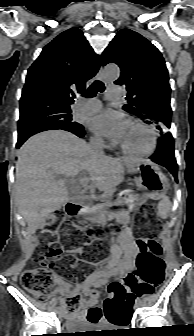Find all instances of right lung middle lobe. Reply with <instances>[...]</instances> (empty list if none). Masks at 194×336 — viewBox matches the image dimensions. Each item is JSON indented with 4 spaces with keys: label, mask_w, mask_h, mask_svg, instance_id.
<instances>
[{
    "label": "right lung middle lobe",
    "mask_w": 194,
    "mask_h": 336,
    "mask_svg": "<svg viewBox=\"0 0 194 336\" xmlns=\"http://www.w3.org/2000/svg\"><path fill=\"white\" fill-rule=\"evenodd\" d=\"M71 110H44L19 120L18 138L34 135L45 130L62 129L80 131L83 126L72 120Z\"/></svg>",
    "instance_id": "dd1d6c3e"
}]
</instances>
